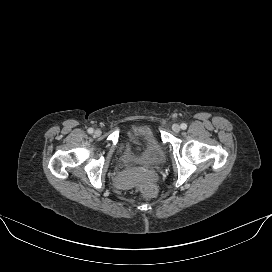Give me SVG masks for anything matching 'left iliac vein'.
Listing matches in <instances>:
<instances>
[{
  "label": "left iliac vein",
  "mask_w": 272,
  "mask_h": 272,
  "mask_svg": "<svg viewBox=\"0 0 272 272\" xmlns=\"http://www.w3.org/2000/svg\"><path fill=\"white\" fill-rule=\"evenodd\" d=\"M180 129H181V128H180V126H179L178 124L175 123V124L172 125V130H173L174 132H179Z\"/></svg>",
  "instance_id": "4c4485c4"
}]
</instances>
